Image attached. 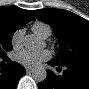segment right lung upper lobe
I'll return each instance as SVG.
<instances>
[{
  "label": "right lung upper lobe",
  "instance_id": "cb5924a9",
  "mask_svg": "<svg viewBox=\"0 0 89 89\" xmlns=\"http://www.w3.org/2000/svg\"><path fill=\"white\" fill-rule=\"evenodd\" d=\"M35 20L33 11L15 6L0 8V26L15 32L29 21Z\"/></svg>",
  "mask_w": 89,
  "mask_h": 89
}]
</instances>
